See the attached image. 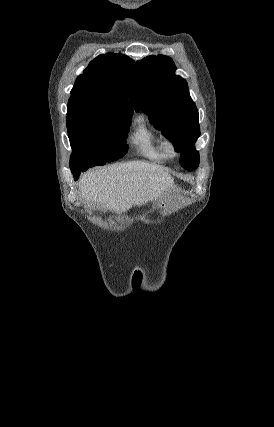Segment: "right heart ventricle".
<instances>
[{"mask_svg":"<svg viewBox=\"0 0 274 427\" xmlns=\"http://www.w3.org/2000/svg\"><path fill=\"white\" fill-rule=\"evenodd\" d=\"M129 145L135 155L146 160L159 163L167 158L161 137L146 126H141L131 135Z\"/></svg>","mask_w":274,"mask_h":427,"instance_id":"right-heart-ventricle-1","label":"right heart ventricle"}]
</instances>
